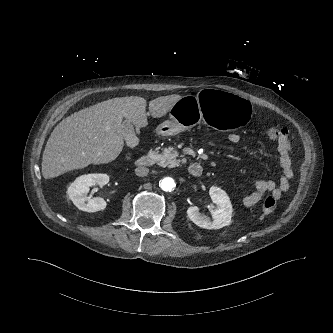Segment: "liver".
I'll list each match as a JSON object with an SVG mask.
<instances>
[{
    "mask_svg": "<svg viewBox=\"0 0 333 333\" xmlns=\"http://www.w3.org/2000/svg\"><path fill=\"white\" fill-rule=\"evenodd\" d=\"M180 95L161 96L149 102L153 118L168 113ZM146 100L138 96L109 99L75 112L52 131L42 157L45 179L91 164L115 160L123 149L122 120L137 128L148 125Z\"/></svg>",
    "mask_w": 333,
    "mask_h": 333,
    "instance_id": "obj_1",
    "label": "liver"
}]
</instances>
